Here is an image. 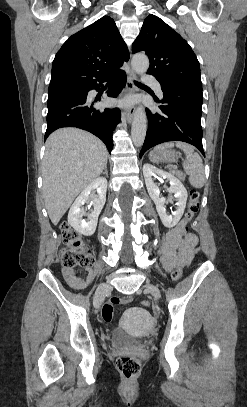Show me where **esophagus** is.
Returning <instances> with one entry per match:
<instances>
[{
    "instance_id": "esophagus-1",
    "label": "esophagus",
    "mask_w": 247,
    "mask_h": 407,
    "mask_svg": "<svg viewBox=\"0 0 247 407\" xmlns=\"http://www.w3.org/2000/svg\"><path fill=\"white\" fill-rule=\"evenodd\" d=\"M136 80V74L133 70H130L129 75L127 77V84H126V92L127 93H133L136 90V86L134 84V81ZM135 112V107L134 106H128L124 109L122 113V118L127 121L128 123H131L133 116Z\"/></svg>"
}]
</instances>
